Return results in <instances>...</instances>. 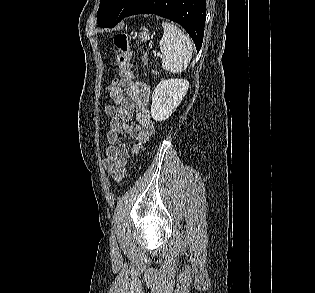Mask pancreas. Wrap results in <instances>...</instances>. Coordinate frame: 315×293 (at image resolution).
Instances as JSON below:
<instances>
[{
    "label": "pancreas",
    "instance_id": "cf45deb5",
    "mask_svg": "<svg viewBox=\"0 0 315 293\" xmlns=\"http://www.w3.org/2000/svg\"><path fill=\"white\" fill-rule=\"evenodd\" d=\"M153 74L157 75V74H158V72H157L156 70H153Z\"/></svg>",
    "mask_w": 315,
    "mask_h": 293
}]
</instances>
